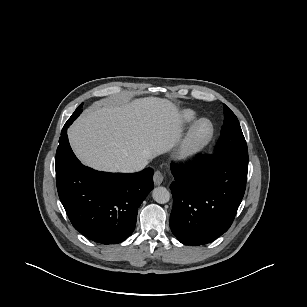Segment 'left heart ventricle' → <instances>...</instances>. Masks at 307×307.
<instances>
[{"label":"left heart ventricle","mask_w":307,"mask_h":307,"mask_svg":"<svg viewBox=\"0 0 307 307\" xmlns=\"http://www.w3.org/2000/svg\"><path fill=\"white\" fill-rule=\"evenodd\" d=\"M208 130V127L206 125L202 126L200 131H199V135L203 136Z\"/></svg>","instance_id":"obj_1"}]
</instances>
